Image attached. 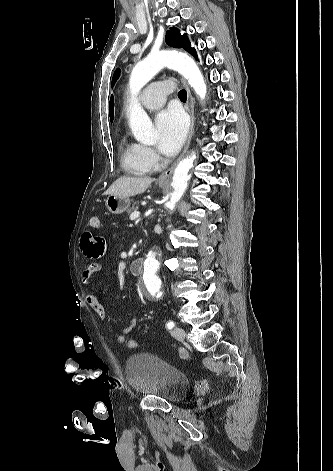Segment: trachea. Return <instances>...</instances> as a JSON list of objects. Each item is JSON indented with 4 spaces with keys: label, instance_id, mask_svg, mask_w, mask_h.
<instances>
[{
    "label": "trachea",
    "instance_id": "trachea-1",
    "mask_svg": "<svg viewBox=\"0 0 333 471\" xmlns=\"http://www.w3.org/2000/svg\"><path fill=\"white\" fill-rule=\"evenodd\" d=\"M178 97H179V99H180L181 101L186 102V100H187V92H186V90H184V89H183V90H180L179 93H178Z\"/></svg>",
    "mask_w": 333,
    "mask_h": 471
}]
</instances>
